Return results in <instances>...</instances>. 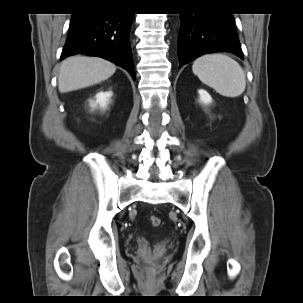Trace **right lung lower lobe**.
Returning a JSON list of instances; mask_svg holds the SVG:
<instances>
[{"label": "right lung lower lobe", "mask_w": 303, "mask_h": 303, "mask_svg": "<svg viewBox=\"0 0 303 303\" xmlns=\"http://www.w3.org/2000/svg\"><path fill=\"white\" fill-rule=\"evenodd\" d=\"M133 13L93 8L72 14L61 60L76 54L102 57L126 69L135 79L130 46Z\"/></svg>", "instance_id": "1"}]
</instances>
